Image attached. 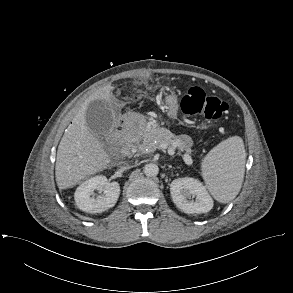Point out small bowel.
<instances>
[{
    "label": "small bowel",
    "instance_id": "obj_1",
    "mask_svg": "<svg viewBox=\"0 0 293 293\" xmlns=\"http://www.w3.org/2000/svg\"><path fill=\"white\" fill-rule=\"evenodd\" d=\"M179 144L184 150H189L191 147V140L188 136L183 135L179 138Z\"/></svg>",
    "mask_w": 293,
    "mask_h": 293
}]
</instances>
